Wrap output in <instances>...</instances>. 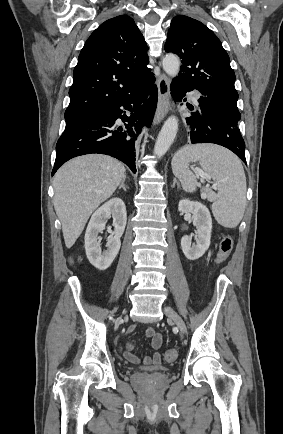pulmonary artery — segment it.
<instances>
[{
  "label": "pulmonary artery",
  "instance_id": "pulmonary-artery-1",
  "mask_svg": "<svg viewBox=\"0 0 283 434\" xmlns=\"http://www.w3.org/2000/svg\"><path fill=\"white\" fill-rule=\"evenodd\" d=\"M191 98H192L193 100H196V99H197V96H196L195 94H192V95H191Z\"/></svg>",
  "mask_w": 283,
  "mask_h": 434
}]
</instances>
